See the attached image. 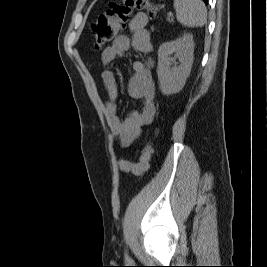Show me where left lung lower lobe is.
Here are the masks:
<instances>
[{"label":"left lung lower lobe","mask_w":267,"mask_h":267,"mask_svg":"<svg viewBox=\"0 0 267 267\" xmlns=\"http://www.w3.org/2000/svg\"><path fill=\"white\" fill-rule=\"evenodd\" d=\"M205 3H207V0H203Z\"/></svg>","instance_id":"left-lung-lower-lobe-1"}]
</instances>
